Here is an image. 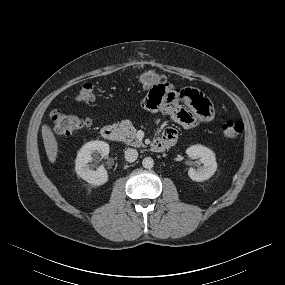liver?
Instances as JSON below:
<instances>
[{
	"label": "liver",
	"mask_w": 285,
	"mask_h": 285,
	"mask_svg": "<svg viewBox=\"0 0 285 285\" xmlns=\"http://www.w3.org/2000/svg\"><path fill=\"white\" fill-rule=\"evenodd\" d=\"M42 138L47 157L51 163H55L58 155V142L54 133L48 125L42 126Z\"/></svg>",
	"instance_id": "obj_1"
}]
</instances>
